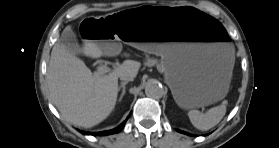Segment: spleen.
I'll use <instances>...</instances> for the list:
<instances>
[{
    "mask_svg": "<svg viewBox=\"0 0 279 148\" xmlns=\"http://www.w3.org/2000/svg\"><path fill=\"white\" fill-rule=\"evenodd\" d=\"M226 113V101L221 105L209 109L206 113H201L198 110H191L188 112V117L192 125L201 130L206 131L216 126Z\"/></svg>",
    "mask_w": 279,
    "mask_h": 148,
    "instance_id": "1",
    "label": "spleen"
}]
</instances>
